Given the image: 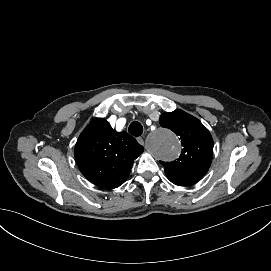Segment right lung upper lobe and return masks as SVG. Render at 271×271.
Segmentation results:
<instances>
[{
    "label": "right lung upper lobe",
    "instance_id": "right-lung-upper-lobe-1",
    "mask_svg": "<svg viewBox=\"0 0 271 271\" xmlns=\"http://www.w3.org/2000/svg\"><path fill=\"white\" fill-rule=\"evenodd\" d=\"M144 148L126 132L117 133L102 118L93 119L80 134L74 155L82 174L95 185L123 184Z\"/></svg>",
    "mask_w": 271,
    "mask_h": 271
}]
</instances>
